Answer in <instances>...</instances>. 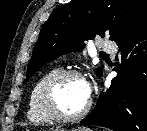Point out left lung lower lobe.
Segmentation results:
<instances>
[{"mask_svg":"<svg viewBox=\"0 0 147 131\" xmlns=\"http://www.w3.org/2000/svg\"><path fill=\"white\" fill-rule=\"evenodd\" d=\"M117 45L121 69L117 64L119 73L110 89L101 93L95 108L81 123L113 131H147V25Z\"/></svg>","mask_w":147,"mask_h":131,"instance_id":"0a47b994","label":"left lung lower lobe"}]
</instances>
